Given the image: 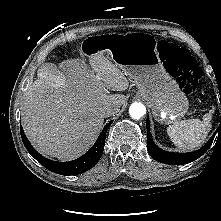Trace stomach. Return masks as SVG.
Wrapping results in <instances>:
<instances>
[{"instance_id":"1","label":"stomach","mask_w":221,"mask_h":221,"mask_svg":"<svg viewBox=\"0 0 221 221\" xmlns=\"http://www.w3.org/2000/svg\"><path fill=\"white\" fill-rule=\"evenodd\" d=\"M81 52L88 59L99 52L109 55L135 81L136 96L147 101L159 123H176L187 113L188 99L165 70L151 34L128 32L90 37L83 42Z\"/></svg>"}]
</instances>
